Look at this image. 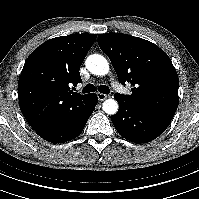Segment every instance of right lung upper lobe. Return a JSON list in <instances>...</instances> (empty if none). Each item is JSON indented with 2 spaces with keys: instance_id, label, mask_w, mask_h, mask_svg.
Listing matches in <instances>:
<instances>
[{
  "instance_id": "obj_1",
  "label": "right lung upper lobe",
  "mask_w": 199,
  "mask_h": 199,
  "mask_svg": "<svg viewBox=\"0 0 199 199\" xmlns=\"http://www.w3.org/2000/svg\"><path fill=\"white\" fill-rule=\"evenodd\" d=\"M97 34L50 39L27 58L18 81L21 112L37 132L55 127L80 111L90 94L73 93L81 82L80 66Z\"/></svg>"
}]
</instances>
